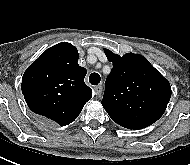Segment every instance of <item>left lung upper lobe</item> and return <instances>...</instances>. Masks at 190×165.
<instances>
[{"instance_id":"1","label":"left lung upper lobe","mask_w":190,"mask_h":165,"mask_svg":"<svg viewBox=\"0 0 190 165\" xmlns=\"http://www.w3.org/2000/svg\"><path fill=\"white\" fill-rule=\"evenodd\" d=\"M104 52L113 63L102 99L108 115L117 124L133 130L156 122L171 97L169 81L139 54L121 57L108 49Z\"/></svg>"}]
</instances>
